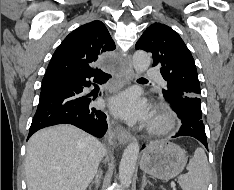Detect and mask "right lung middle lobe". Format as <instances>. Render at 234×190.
I'll return each instance as SVG.
<instances>
[{"mask_svg": "<svg viewBox=\"0 0 234 190\" xmlns=\"http://www.w3.org/2000/svg\"><path fill=\"white\" fill-rule=\"evenodd\" d=\"M47 81L46 80H43L42 84L46 83Z\"/></svg>", "mask_w": 234, "mask_h": 190, "instance_id": "right-lung-middle-lobe-1", "label": "right lung middle lobe"}]
</instances>
